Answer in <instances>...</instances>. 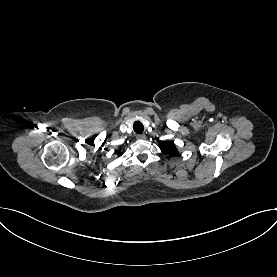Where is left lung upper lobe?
I'll return each mask as SVG.
<instances>
[{"mask_svg":"<svg viewBox=\"0 0 277 277\" xmlns=\"http://www.w3.org/2000/svg\"><path fill=\"white\" fill-rule=\"evenodd\" d=\"M161 151L165 154H169L170 156H175L177 154V149L175 147L174 142L165 141L161 144Z\"/></svg>","mask_w":277,"mask_h":277,"instance_id":"obj_1","label":"left lung upper lobe"}]
</instances>
